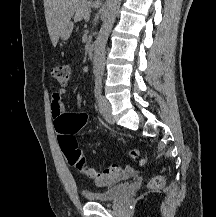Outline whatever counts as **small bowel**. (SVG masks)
Wrapping results in <instances>:
<instances>
[{
  "label": "small bowel",
  "mask_w": 216,
  "mask_h": 217,
  "mask_svg": "<svg viewBox=\"0 0 216 217\" xmlns=\"http://www.w3.org/2000/svg\"><path fill=\"white\" fill-rule=\"evenodd\" d=\"M66 94H67L66 88H59L58 90L52 93L50 110H51L52 118L54 119L55 122V127L59 119L65 113V108L62 99ZM131 173H133V169L131 167H127L124 170V174H131Z\"/></svg>",
  "instance_id": "obj_1"
}]
</instances>
